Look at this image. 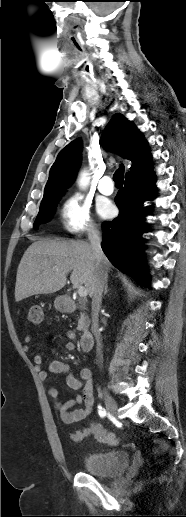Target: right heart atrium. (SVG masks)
I'll use <instances>...</instances> for the list:
<instances>
[{
  "label": "right heart atrium",
  "mask_w": 186,
  "mask_h": 517,
  "mask_svg": "<svg viewBox=\"0 0 186 517\" xmlns=\"http://www.w3.org/2000/svg\"><path fill=\"white\" fill-rule=\"evenodd\" d=\"M60 220L69 234H91L96 230L91 205L80 194H72L62 202Z\"/></svg>",
  "instance_id": "d8ad5b80"
}]
</instances>
